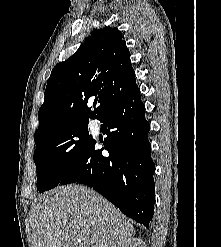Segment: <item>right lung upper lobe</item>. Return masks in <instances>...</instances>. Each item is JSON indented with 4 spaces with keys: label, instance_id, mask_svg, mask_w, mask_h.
<instances>
[{
    "label": "right lung upper lobe",
    "instance_id": "right-lung-upper-lobe-1",
    "mask_svg": "<svg viewBox=\"0 0 221 247\" xmlns=\"http://www.w3.org/2000/svg\"><path fill=\"white\" fill-rule=\"evenodd\" d=\"M137 89L121 32L111 27L99 29L74 55L53 68L34 138L66 123L98 119ZM92 96H98L94 111L87 107Z\"/></svg>",
    "mask_w": 221,
    "mask_h": 247
}]
</instances>
